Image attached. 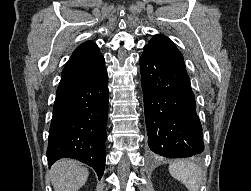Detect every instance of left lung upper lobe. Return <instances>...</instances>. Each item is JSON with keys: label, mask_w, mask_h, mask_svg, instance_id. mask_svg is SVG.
Segmentation results:
<instances>
[{"label": "left lung upper lobe", "mask_w": 251, "mask_h": 191, "mask_svg": "<svg viewBox=\"0 0 251 191\" xmlns=\"http://www.w3.org/2000/svg\"><path fill=\"white\" fill-rule=\"evenodd\" d=\"M144 51L152 52L162 60L186 70L182 54L174 43L164 35H155L145 45Z\"/></svg>", "instance_id": "5c2ea615"}]
</instances>
